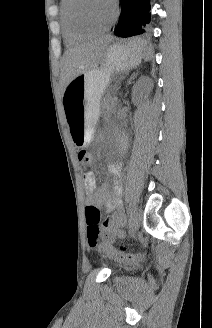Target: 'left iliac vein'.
Masks as SVG:
<instances>
[{
	"mask_svg": "<svg viewBox=\"0 0 212 328\" xmlns=\"http://www.w3.org/2000/svg\"><path fill=\"white\" fill-rule=\"evenodd\" d=\"M141 214L139 211L135 210L129 223V235L133 236L135 232L138 230L141 224Z\"/></svg>",
	"mask_w": 212,
	"mask_h": 328,
	"instance_id": "obj_1",
	"label": "left iliac vein"
}]
</instances>
